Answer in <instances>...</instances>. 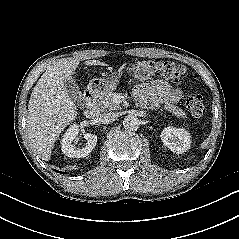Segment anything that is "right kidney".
Returning a JSON list of instances; mask_svg holds the SVG:
<instances>
[{
  "label": "right kidney",
  "instance_id": "ca27d5eb",
  "mask_svg": "<svg viewBox=\"0 0 239 239\" xmlns=\"http://www.w3.org/2000/svg\"><path fill=\"white\" fill-rule=\"evenodd\" d=\"M79 133L78 125H71L63 135L61 148L62 152L71 158H84L88 156L94 149L97 143V136L92 133H86L84 135L87 140L86 146L82 149L76 148L72 142L77 137Z\"/></svg>",
  "mask_w": 239,
  "mask_h": 239
}]
</instances>
